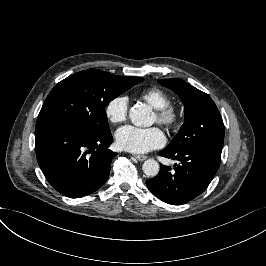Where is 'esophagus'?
Masks as SVG:
<instances>
[{
	"instance_id": "obj_1",
	"label": "esophagus",
	"mask_w": 266,
	"mask_h": 266,
	"mask_svg": "<svg viewBox=\"0 0 266 266\" xmlns=\"http://www.w3.org/2000/svg\"><path fill=\"white\" fill-rule=\"evenodd\" d=\"M134 157L138 160V161H144L147 159V156L145 155H134Z\"/></svg>"
}]
</instances>
